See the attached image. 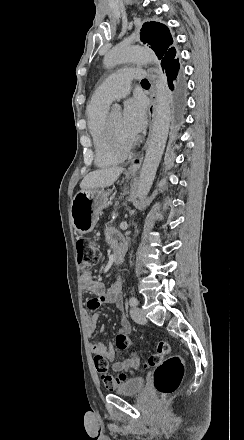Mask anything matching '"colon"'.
<instances>
[{
  "instance_id": "1",
  "label": "colon",
  "mask_w": 244,
  "mask_h": 440,
  "mask_svg": "<svg viewBox=\"0 0 244 440\" xmlns=\"http://www.w3.org/2000/svg\"><path fill=\"white\" fill-rule=\"evenodd\" d=\"M77 264L80 270L86 271L87 266H93L99 261V250L83 238L76 241ZM122 329L120 326L117 328ZM115 346L121 351L134 349V344L120 331L115 339ZM143 353L135 350L136 360L141 359ZM97 373L101 374L102 382L108 386H116L122 381L128 379V374L121 372L118 376L115 373H109L108 359L101 354H96L93 358ZM155 366L154 387L159 395L168 396L174 393L179 387L183 375L184 367L181 355L171 352V347L167 341H159L155 352L148 358L145 367ZM177 374V375H176Z\"/></svg>"
}]
</instances>
